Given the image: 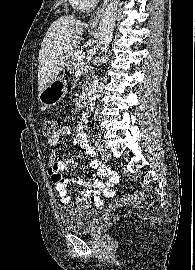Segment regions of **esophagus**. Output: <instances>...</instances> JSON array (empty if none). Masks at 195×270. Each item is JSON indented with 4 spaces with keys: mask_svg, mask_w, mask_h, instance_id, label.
<instances>
[{
    "mask_svg": "<svg viewBox=\"0 0 195 270\" xmlns=\"http://www.w3.org/2000/svg\"><path fill=\"white\" fill-rule=\"evenodd\" d=\"M109 0H103L101 5L98 7V9L94 12L90 20L88 21V27L90 28H96L98 25V22L108 4Z\"/></svg>",
    "mask_w": 195,
    "mask_h": 270,
    "instance_id": "34e87169",
    "label": "esophagus"
}]
</instances>
